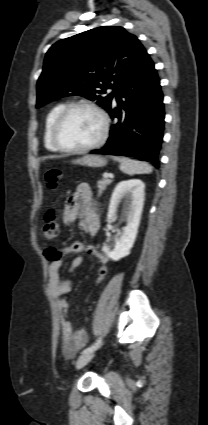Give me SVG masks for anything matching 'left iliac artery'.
I'll use <instances>...</instances> for the list:
<instances>
[{"mask_svg":"<svg viewBox=\"0 0 208 425\" xmlns=\"http://www.w3.org/2000/svg\"><path fill=\"white\" fill-rule=\"evenodd\" d=\"M101 343H102V338L100 337L97 339V341L94 344H92L90 347L83 350L82 354L96 350L97 348H99Z\"/></svg>","mask_w":208,"mask_h":425,"instance_id":"44dca946","label":"left iliac artery"}]
</instances>
